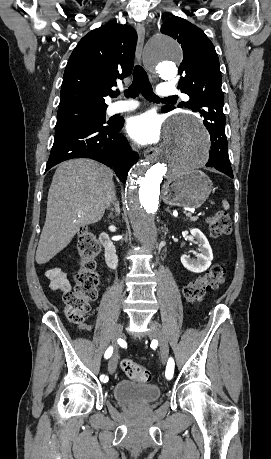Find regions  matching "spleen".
Segmentation results:
<instances>
[{
  "instance_id": "3e777b00",
  "label": "spleen",
  "mask_w": 271,
  "mask_h": 459,
  "mask_svg": "<svg viewBox=\"0 0 271 459\" xmlns=\"http://www.w3.org/2000/svg\"><path fill=\"white\" fill-rule=\"evenodd\" d=\"M222 204H223L224 210H229L230 206H229L228 202H226V200H224V202H222Z\"/></svg>"
}]
</instances>
